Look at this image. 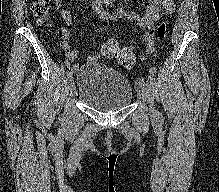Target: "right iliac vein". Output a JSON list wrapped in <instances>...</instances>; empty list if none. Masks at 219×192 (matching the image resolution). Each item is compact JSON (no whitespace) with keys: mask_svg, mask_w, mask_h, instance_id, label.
<instances>
[{"mask_svg":"<svg viewBox=\"0 0 219 192\" xmlns=\"http://www.w3.org/2000/svg\"><path fill=\"white\" fill-rule=\"evenodd\" d=\"M68 85H69V87H70V89H71V93L73 94L74 82H73L72 77H70V78L68 79Z\"/></svg>","mask_w":219,"mask_h":192,"instance_id":"63e3f726","label":"right iliac vein"}]
</instances>
